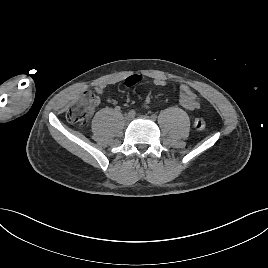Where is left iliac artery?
I'll use <instances>...</instances> for the list:
<instances>
[{
    "label": "left iliac artery",
    "mask_w": 268,
    "mask_h": 268,
    "mask_svg": "<svg viewBox=\"0 0 268 268\" xmlns=\"http://www.w3.org/2000/svg\"><path fill=\"white\" fill-rule=\"evenodd\" d=\"M152 119L155 120L157 116L155 114L151 115Z\"/></svg>",
    "instance_id": "left-iliac-artery-1"
}]
</instances>
